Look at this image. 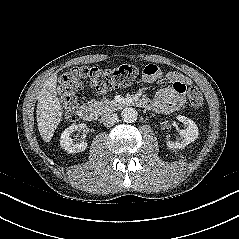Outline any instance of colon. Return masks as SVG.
Listing matches in <instances>:
<instances>
[{
	"label": "colon",
	"mask_w": 239,
	"mask_h": 239,
	"mask_svg": "<svg viewBox=\"0 0 239 239\" xmlns=\"http://www.w3.org/2000/svg\"><path fill=\"white\" fill-rule=\"evenodd\" d=\"M138 75L139 70L133 65H121L110 69L80 66L63 73L59 78L58 93L66 118L70 121L76 120L79 106L77 92L85 84L98 91H105L130 86ZM187 96L192 107L202 106L203 94L199 88L188 87Z\"/></svg>",
	"instance_id": "colon-1"
}]
</instances>
